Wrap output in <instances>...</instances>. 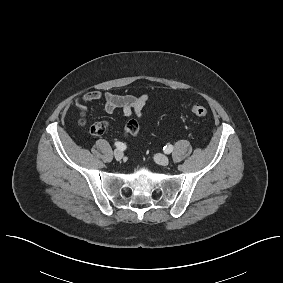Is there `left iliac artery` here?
<instances>
[{"mask_svg":"<svg viewBox=\"0 0 283 283\" xmlns=\"http://www.w3.org/2000/svg\"><path fill=\"white\" fill-rule=\"evenodd\" d=\"M163 150H164V152H165L166 154H169V153H171V152L173 151V146H172V145H167V146H165V147L163 148Z\"/></svg>","mask_w":283,"mask_h":283,"instance_id":"obj_1","label":"left iliac artery"}]
</instances>
